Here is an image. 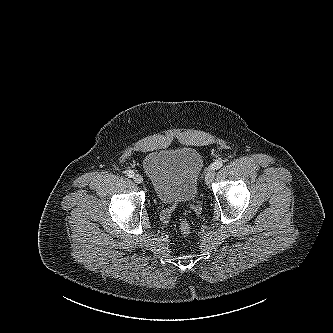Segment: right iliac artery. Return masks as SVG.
<instances>
[{
	"mask_svg": "<svg viewBox=\"0 0 333 333\" xmlns=\"http://www.w3.org/2000/svg\"><path fill=\"white\" fill-rule=\"evenodd\" d=\"M127 176L130 177V178L133 177L134 172L132 170L127 171Z\"/></svg>",
	"mask_w": 333,
	"mask_h": 333,
	"instance_id": "right-iliac-artery-1",
	"label": "right iliac artery"
}]
</instances>
